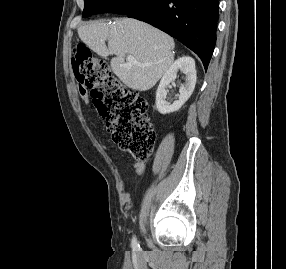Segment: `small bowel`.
<instances>
[{
  "label": "small bowel",
  "instance_id": "1",
  "mask_svg": "<svg viewBox=\"0 0 286 269\" xmlns=\"http://www.w3.org/2000/svg\"><path fill=\"white\" fill-rule=\"evenodd\" d=\"M81 94L84 95V93L82 92ZM132 167L138 175H142L144 173L145 164L143 162H139V161L133 162Z\"/></svg>",
  "mask_w": 286,
  "mask_h": 269
}]
</instances>
